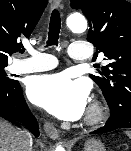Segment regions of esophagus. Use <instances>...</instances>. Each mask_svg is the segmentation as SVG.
Returning a JSON list of instances; mask_svg holds the SVG:
<instances>
[{"label": "esophagus", "instance_id": "obj_1", "mask_svg": "<svg viewBox=\"0 0 131 151\" xmlns=\"http://www.w3.org/2000/svg\"><path fill=\"white\" fill-rule=\"evenodd\" d=\"M61 1L62 0H53V4L55 7H60L61 6ZM44 131L46 135L51 138L52 140H57L59 139V132L57 128L50 122H45L44 123Z\"/></svg>", "mask_w": 131, "mask_h": 151}]
</instances>
